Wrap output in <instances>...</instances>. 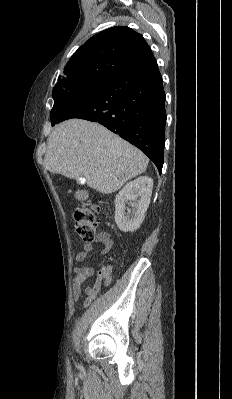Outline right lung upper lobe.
<instances>
[{
	"label": "right lung upper lobe",
	"instance_id": "1",
	"mask_svg": "<svg viewBox=\"0 0 232 399\" xmlns=\"http://www.w3.org/2000/svg\"><path fill=\"white\" fill-rule=\"evenodd\" d=\"M152 55L141 34L128 27L109 28L91 37L73 54L63 75L59 76L52 95L62 92L77 79L109 78Z\"/></svg>",
	"mask_w": 232,
	"mask_h": 399
}]
</instances>
